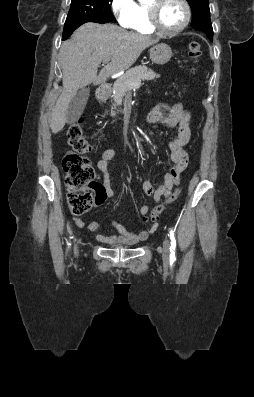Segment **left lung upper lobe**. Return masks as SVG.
<instances>
[{"mask_svg": "<svg viewBox=\"0 0 254 397\" xmlns=\"http://www.w3.org/2000/svg\"><path fill=\"white\" fill-rule=\"evenodd\" d=\"M192 9L191 26L204 31L208 38H213L208 0H187Z\"/></svg>", "mask_w": 254, "mask_h": 397, "instance_id": "obj_1", "label": "left lung upper lobe"}]
</instances>
